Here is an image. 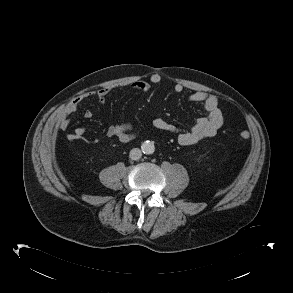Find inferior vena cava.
<instances>
[{
    "instance_id": "1",
    "label": "inferior vena cava",
    "mask_w": 293,
    "mask_h": 293,
    "mask_svg": "<svg viewBox=\"0 0 293 293\" xmlns=\"http://www.w3.org/2000/svg\"><path fill=\"white\" fill-rule=\"evenodd\" d=\"M142 156L141 150L139 148H133L130 153L129 157L131 160H138Z\"/></svg>"
}]
</instances>
